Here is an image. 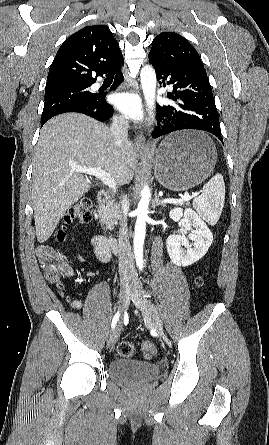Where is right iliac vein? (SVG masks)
<instances>
[{
    "instance_id": "63e3f726",
    "label": "right iliac vein",
    "mask_w": 269,
    "mask_h": 445,
    "mask_svg": "<svg viewBox=\"0 0 269 445\" xmlns=\"http://www.w3.org/2000/svg\"><path fill=\"white\" fill-rule=\"evenodd\" d=\"M133 295V289L130 287H124L121 289L120 292V306L122 309H126L129 305V301L131 296ZM120 332H121V324L120 322L114 327V329L112 330V332L109 335V339H108V346L112 347L116 344V342L119 339L120 336Z\"/></svg>"
}]
</instances>
